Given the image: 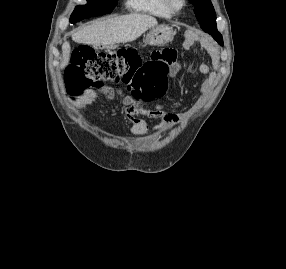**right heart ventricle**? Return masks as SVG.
<instances>
[{"label":"right heart ventricle","instance_id":"obj_1","mask_svg":"<svg viewBox=\"0 0 286 269\" xmlns=\"http://www.w3.org/2000/svg\"><path fill=\"white\" fill-rule=\"evenodd\" d=\"M128 10L159 18H170L172 13L167 9L164 0H125Z\"/></svg>","mask_w":286,"mask_h":269}]
</instances>
